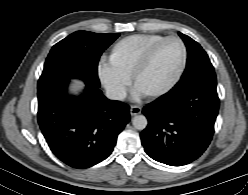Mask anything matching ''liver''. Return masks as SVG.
Segmentation results:
<instances>
[{
  "label": "liver",
  "mask_w": 248,
  "mask_h": 195,
  "mask_svg": "<svg viewBox=\"0 0 248 195\" xmlns=\"http://www.w3.org/2000/svg\"><path fill=\"white\" fill-rule=\"evenodd\" d=\"M84 88V83L83 81L79 80V79H74L71 82L70 85V91L73 93H77L79 91H81Z\"/></svg>",
  "instance_id": "1"
}]
</instances>
